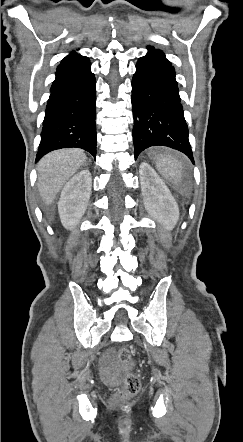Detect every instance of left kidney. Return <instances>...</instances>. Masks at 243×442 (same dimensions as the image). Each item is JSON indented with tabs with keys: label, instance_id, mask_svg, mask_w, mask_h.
I'll return each instance as SVG.
<instances>
[{
	"label": "left kidney",
	"instance_id": "left-kidney-1",
	"mask_svg": "<svg viewBox=\"0 0 243 442\" xmlns=\"http://www.w3.org/2000/svg\"><path fill=\"white\" fill-rule=\"evenodd\" d=\"M139 173L146 210L165 230H172L179 219V208L174 197L148 163H141Z\"/></svg>",
	"mask_w": 243,
	"mask_h": 442
}]
</instances>
